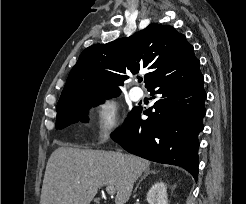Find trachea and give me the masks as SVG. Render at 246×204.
Returning <instances> with one entry per match:
<instances>
[{"instance_id":"trachea-1","label":"trachea","mask_w":246,"mask_h":204,"mask_svg":"<svg viewBox=\"0 0 246 204\" xmlns=\"http://www.w3.org/2000/svg\"><path fill=\"white\" fill-rule=\"evenodd\" d=\"M139 82H142V79H138Z\"/></svg>"}]
</instances>
